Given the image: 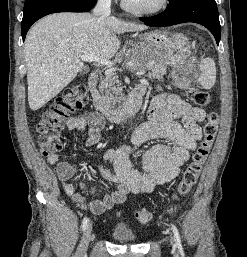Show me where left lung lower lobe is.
Instances as JSON below:
<instances>
[{"label":"left lung lower lobe","instance_id":"1","mask_svg":"<svg viewBox=\"0 0 247 257\" xmlns=\"http://www.w3.org/2000/svg\"><path fill=\"white\" fill-rule=\"evenodd\" d=\"M185 22L205 26L214 35L219 45L221 27L215 0H169L167 9L153 16L152 20L146 21L145 24L152 27H164Z\"/></svg>","mask_w":247,"mask_h":257}]
</instances>
